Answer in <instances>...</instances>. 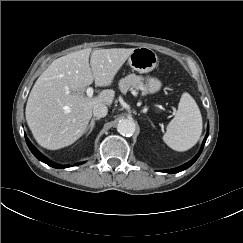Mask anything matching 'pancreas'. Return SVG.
<instances>
[{
	"instance_id": "1",
	"label": "pancreas",
	"mask_w": 243,
	"mask_h": 243,
	"mask_svg": "<svg viewBox=\"0 0 243 243\" xmlns=\"http://www.w3.org/2000/svg\"><path fill=\"white\" fill-rule=\"evenodd\" d=\"M118 85L122 93H126L129 90L135 89V90H141L142 95L147 94V87L143 83V78L135 74H130L125 78H122L119 81Z\"/></svg>"
}]
</instances>
